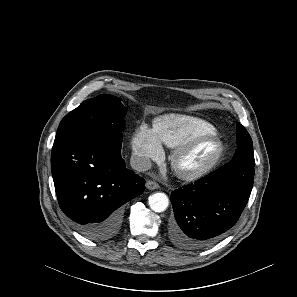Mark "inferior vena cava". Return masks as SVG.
<instances>
[{
	"label": "inferior vena cava",
	"instance_id": "1",
	"mask_svg": "<svg viewBox=\"0 0 297 297\" xmlns=\"http://www.w3.org/2000/svg\"><path fill=\"white\" fill-rule=\"evenodd\" d=\"M131 167L138 172H145L152 166L151 160L145 156L133 154L130 158Z\"/></svg>",
	"mask_w": 297,
	"mask_h": 297
}]
</instances>
